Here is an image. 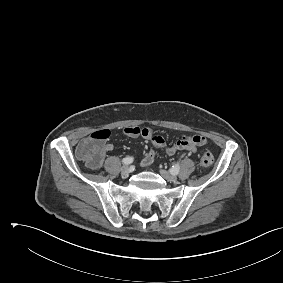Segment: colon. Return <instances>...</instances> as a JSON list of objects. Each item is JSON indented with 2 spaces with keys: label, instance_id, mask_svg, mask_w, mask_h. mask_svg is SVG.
<instances>
[{
  "label": "colon",
  "instance_id": "obj_1",
  "mask_svg": "<svg viewBox=\"0 0 283 283\" xmlns=\"http://www.w3.org/2000/svg\"><path fill=\"white\" fill-rule=\"evenodd\" d=\"M109 137L107 130H99L85 138L77 147V155L91 168H98L103 158L104 141ZM214 157L208 150L200 155V164L209 167L213 164Z\"/></svg>",
  "mask_w": 283,
  "mask_h": 283
}]
</instances>
